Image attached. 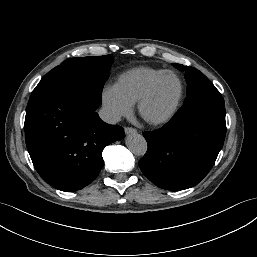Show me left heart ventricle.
<instances>
[{
  "mask_svg": "<svg viewBox=\"0 0 257 257\" xmlns=\"http://www.w3.org/2000/svg\"><path fill=\"white\" fill-rule=\"evenodd\" d=\"M180 91V84L173 75L165 76L144 106V115L149 119H158L170 112Z\"/></svg>",
  "mask_w": 257,
  "mask_h": 257,
  "instance_id": "b2bd125f",
  "label": "left heart ventricle"
}]
</instances>
